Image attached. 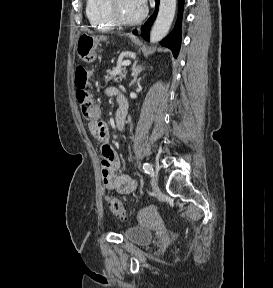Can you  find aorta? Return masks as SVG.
<instances>
[{"label": "aorta", "instance_id": "762f6f07", "mask_svg": "<svg viewBox=\"0 0 273 288\" xmlns=\"http://www.w3.org/2000/svg\"><path fill=\"white\" fill-rule=\"evenodd\" d=\"M177 0H160L159 12L150 33V42L156 43L162 40L171 27Z\"/></svg>", "mask_w": 273, "mask_h": 288}]
</instances>
